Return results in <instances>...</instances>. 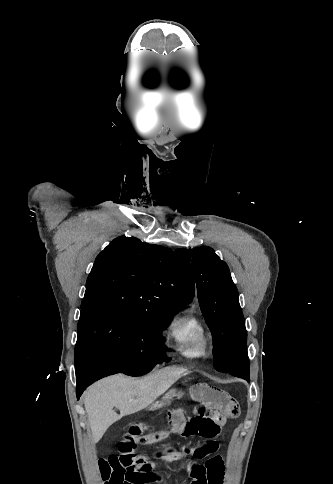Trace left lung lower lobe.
Wrapping results in <instances>:
<instances>
[{"instance_id":"left-lung-lower-lobe-1","label":"left lung lower lobe","mask_w":333,"mask_h":484,"mask_svg":"<svg viewBox=\"0 0 333 484\" xmlns=\"http://www.w3.org/2000/svg\"><path fill=\"white\" fill-rule=\"evenodd\" d=\"M233 362L243 368H249L246 344L242 345L233 355ZM245 379L249 381V377H246Z\"/></svg>"}]
</instances>
